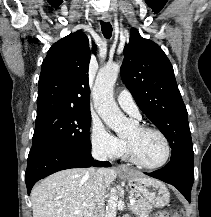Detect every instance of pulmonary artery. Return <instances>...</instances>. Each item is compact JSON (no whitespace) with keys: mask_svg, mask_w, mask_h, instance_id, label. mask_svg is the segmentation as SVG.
<instances>
[{"mask_svg":"<svg viewBox=\"0 0 211 217\" xmlns=\"http://www.w3.org/2000/svg\"><path fill=\"white\" fill-rule=\"evenodd\" d=\"M117 102L122 110L129 115L138 119L141 117L139 108L129 90L122 89L117 96Z\"/></svg>","mask_w":211,"mask_h":217,"instance_id":"1","label":"pulmonary artery"}]
</instances>
